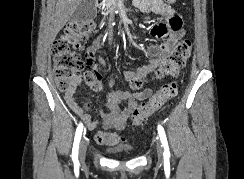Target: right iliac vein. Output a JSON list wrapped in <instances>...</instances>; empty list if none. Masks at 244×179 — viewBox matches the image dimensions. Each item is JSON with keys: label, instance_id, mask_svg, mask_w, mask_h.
Listing matches in <instances>:
<instances>
[{"label": "right iliac vein", "instance_id": "1", "mask_svg": "<svg viewBox=\"0 0 244 179\" xmlns=\"http://www.w3.org/2000/svg\"><path fill=\"white\" fill-rule=\"evenodd\" d=\"M86 140L82 139L81 143H80V149H79V159L80 161H83L85 159L86 156Z\"/></svg>", "mask_w": 244, "mask_h": 179}]
</instances>
